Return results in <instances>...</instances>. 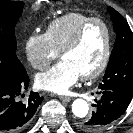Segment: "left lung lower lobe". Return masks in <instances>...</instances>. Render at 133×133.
I'll return each mask as SVG.
<instances>
[{
    "label": "left lung lower lobe",
    "instance_id": "1",
    "mask_svg": "<svg viewBox=\"0 0 133 133\" xmlns=\"http://www.w3.org/2000/svg\"><path fill=\"white\" fill-rule=\"evenodd\" d=\"M101 98L96 100L95 111L80 127L86 133H99L115 122L127 109L132 97L119 91L100 90Z\"/></svg>",
    "mask_w": 133,
    "mask_h": 133
}]
</instances>
